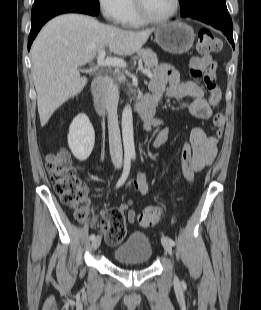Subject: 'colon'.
<instances>
[{
    "instance_id": "colon-1",
    "label": "colon",
    "mask_w": 261,
    "mask_h": 310,
    "mask_svg": "<svg viewBox=\"0 0 261 310\" xmlns=\"http://www.w3.org/2000/svg\"><path fill=\"white\" fill-rule=\"evenodd\" d=\"M221 41L208 29L198 32L196 49L200 56L194 57L190 62V73L193 77H202L205 88L209 93V104L217 106L222 98V92L217 84L216 64L210 54L220 51ZM215 138H221L225 126V116L216 112L213 116ZM47 169L56 194L63 204L70 207L79 220L87 217L89 198L87 188L73 166L69 152L60 149L47 155ZM192 148L185 143L181 151V163L185 178L191 181L193 170L191 167ZM161 209L148 207L137 216V221L143 227H149L158 222ZM100 228L107 244L118 245L126 235V220L122 212L107 210L100 221Z\"/></svg>"
}]
</instances>
